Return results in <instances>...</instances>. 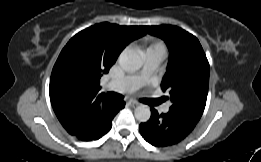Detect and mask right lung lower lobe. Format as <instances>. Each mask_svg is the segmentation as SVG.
I'll use <instances>...</instances> for the list:
<instances>
[{
    "instance_id": "right-lung-lower-lobe-1",
    "label": "right lung lower lobe",
    "mask_w": 261,
    "mask_h": 162,
    "mask_svg": "<svg viewBox=\"0 0 261 162\" xmlns=\"http://www.w3.org/2000/svg\"><path fill=\"white\" fill-rule=\"evenodd\" d=\"M125 103L114 102L106 112H102L96 119L87 122L77 133L71 134L84 141L97 140L106 134L112 127V120Z\"/></svg>"
}]
</instances>
